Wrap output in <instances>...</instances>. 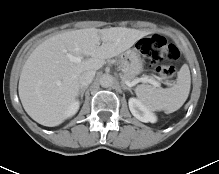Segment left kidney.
I'll return each mask as SVG.
<instances>
[{
  "label": "left kidney",
  "instance_id": "1",
  "mask_svg": "<svg viewBox=\"0 0 219 174\" xmlns=\"http://www.w3.org/2000/svg\"><path fill=\"white\" fill-rule=\"evenodd\" d=\"M129 109L132 115L141 122H156V116L138 99H129Z\"/></svg>",
  "mask_w": 219,
  "mask_h": 174
}]
</instances>
